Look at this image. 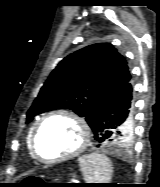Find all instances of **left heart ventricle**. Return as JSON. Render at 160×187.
Wrapping results in <instances>:
<instances>
[{
    "label": "left heart ventricle",
    "instance_id": "b2bd125f",
    "mask_svg": "<svg viewBox=\"0 0 160 187\" xmlns=\"http://www.w3.org/2000/svg\"><path fill=\"white\" fill-rule=\"evenodd\" d=\"M80 141L81 131L75 121L66 116H54L41 126L36 146L43 158L52 159L70 153Z\"/></svg>",
    "mask_w": 160,
    "mask_h": 187
}]
</instances>
